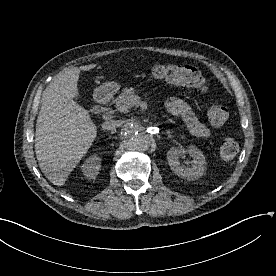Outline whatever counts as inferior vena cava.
Wrapping results in <instances>:
<instances>
[{"label": "inferior vena cava", "instance_id": "602c4592", "mask_svg": "<svg viewBox=\"0 0 276 276\" xmlns=\"http://www.w3.org/2000/svg\"><path fill=\"white\" fill-rule=\"evenodd\" d=\"M119 125H120V123L118 120H107L103 123L102 128L106 129V130H111Z\"/></svg>", "mask_w": 276, "mask_h": 276}]
</instances>
